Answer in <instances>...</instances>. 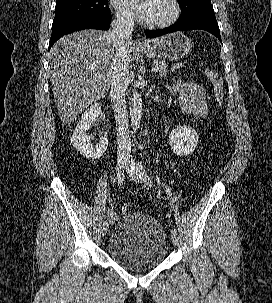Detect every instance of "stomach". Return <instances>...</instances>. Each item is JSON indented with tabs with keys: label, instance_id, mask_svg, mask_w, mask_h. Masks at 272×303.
<instances>
[{
	"label": "stomach",
	"instance_id": "1",
	"mask_svg": "<svg viewBox=\"0 0 272 303\" xmlns=\"http://www.w3.org/2000/svg\"><path fill=\"white\" fill-rule=\"evenodd\" d=\"M191 48V40L183 33L176 32L161 37L159 41H151L141 51L161 60L176 61L185 57Z\"/></svg>",
	"mask_w": 272,
	"mask_h": 303
}]
</instances>
